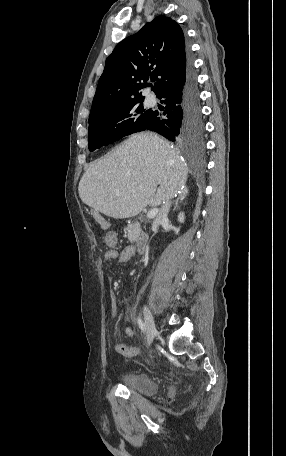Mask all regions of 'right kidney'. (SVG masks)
Masks as SVG:
<instances>
[{
    "label": "right kidney",
    "instance_id": "1",
    "mask_svg": "<svg viewBox=\"0 0 286 456\" xmlns=\"http://www.w3.org/2000/svg\"><path fill=\"white\" fill-rule=\"evenodd\" d=\"M184 220H185L184 213H183V212H180L179 215H178V221H179L180 223H184Z\"/></svg>",
    "mask_w": 286,
    "mask_h": 456
}]
</instances>
